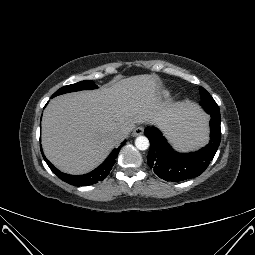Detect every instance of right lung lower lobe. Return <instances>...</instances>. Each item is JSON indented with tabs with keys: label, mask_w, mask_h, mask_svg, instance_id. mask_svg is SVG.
<instances>
[{
	"label": "right lung lower lobe",
	"mask_w": 255,
	"mask_h": 255,
	"mask_svg": "<svg viewBox=\"0 0 255 255\" xmlns=\"http://www.w3.org/2000/svg\"><path fill=\"white\" fill-rule=\"evenodd\" d=\"M125 141L119 146L117 149H114L111 154L108 156V158L95 170L92 172L85 174V175H68L65 173L60 172L58 169H56L43 155L44 160L50 167V169L63 181H65L68 184L74 185V186H88L92 185L94 183H97L99 181H102L107 177L109 172L112 169V166L116 162V157L118 156V153L121 149V147L124 145ZM42 152V149H41Z\"/></svg>",
	"instance_id": "98d812e1"
}]
</instances>
